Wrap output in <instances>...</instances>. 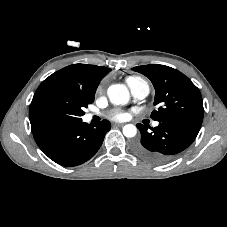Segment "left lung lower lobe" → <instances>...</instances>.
Here are the masks:
<instances>
[{"label":"left lung lower lobe","instance_id":"0a47b994","mask_svg":"<svg viewBox=\"0 0 227 227\" xmlns=\"http://www.w3.org/2000/svg\"><path fill=\"white\" fill-rule=\"evenodd\" d=\"M201 125L183 120L159 121V125L148 128L137 124L141 132V139L134 143L135 152L143 159L164 164L173 160L176 155L188 146L197 137Z\"/></svg>","mask_w":227,"mask_h":227}]
</instances>
